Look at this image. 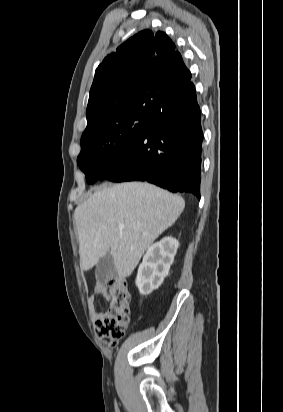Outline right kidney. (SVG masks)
Instances as JSON below:
<instances>
[{"label": "right kidney", "instance_id": "1", "mask_svg": "<svg viewBox=\"0 0 283 412\" xmlns=\"http://www.w3.org/2000/svg\"><path fill=\"white\" fill-rule=\"evenodd\" d=\"M178 246V240L165 237L148 248L136 278V286L141 295H149L162 284L169 273Z\"/></svg>", "mask_w": 283, "mask_h": 412}]
</instances>
